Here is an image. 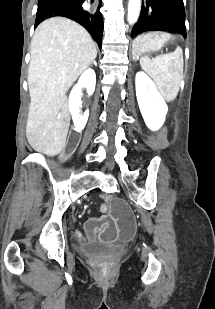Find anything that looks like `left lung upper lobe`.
Returning a JSON list of instances; mask_svg holds the SVG:
<instances>
[{
  "label": "left lung upper lobe",
  "mask_w": 215,
  "mask_h": 309,
  "mask_svg": "<svg viewBox=\"0 0 215 309\" xmlns=\"http://www.w3.org/2000/svg\"><path fill=\"white\" fill-rule=\"evenodd\" d=\"M150 30H167L186 36L182 0H146L131 37Z\"/></svg>",
  "instance_id": "1"
}]
</instances>
